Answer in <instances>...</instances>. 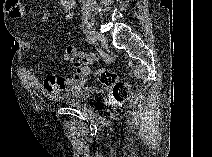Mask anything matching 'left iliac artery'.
Returning a JSON list of instances; mask_svg holds the SVG:
<instances>
[{
    "mask_svg": "<svg viewBox=\"0 0 212 157\" xmlns=\"http://www.w3.org/2000/svg\"><path fill=\"white\" fill-rule=\"evenodd\" d=\"M86 37H87V39L90 40V41H96V38H95V36H94V31H89V32H87Z\"/></svg>",
    "mask_w": 212,
    "mask_h": 157,
    "instance_id": "obj_1",
    "label": "left iliac artery"
}]
</instances>
